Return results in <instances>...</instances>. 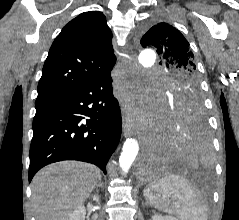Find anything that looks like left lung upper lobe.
I'll return each mask as SVG.
<instances>
[{
  "mask_svg": "<svg viewBox=\"0 0 239 220\" xmlns=\"http://www.w3.org/2000/svg\"><path fill=\"white\" fill-rule=\"evenodd\" d=\"M141 44L156 50L176 80L167 90L165 108L185 111L192 108L204 112L194 55L185 37L173 26L161 22L144 33Z\"/></svg>",
  "mask_w": 239,
  "mask_h": 220,
  "instance_id": "1",
  "label": "left lung upper lobe"
}]
</instances>
